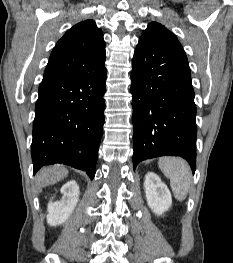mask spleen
<instances>
[{
  "label": "spleen",
  "mask_w": 233,
  "mask_h": 263,
  "mask_svg": "<svg viewBox=\"0 0 233 263\" xmlns=\"http://www.w3.org/2000/svg\"><path fill=\"white\" fill-rule=\"evenodd\" d=\"M163 174L170 179L175 198L183 201L190 189L191 171L186 161L177 157H163L158 161Z\"/></svg>",
  "instance_id": "spleen-1"
}]
</instances>
